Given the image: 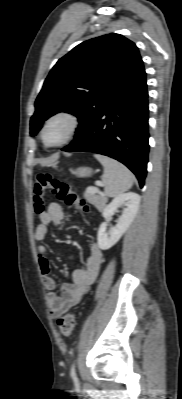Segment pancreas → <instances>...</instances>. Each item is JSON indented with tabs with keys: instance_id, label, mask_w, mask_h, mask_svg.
<instances>
[{
	"instance_id": "pancreas-1",
	"label": "pancreas",
	"mask_w": 182,
	"mask_h": 399,
	"mask_svg": "<svg viewBox=\"0 0 182 399\" xmlns=\"http://www.w3.org/2000/svg\"><path fill=\"white\" fill-rule=\"evenodd\" d=\"M87 197L89 198V200L96 205L97 207L101 206L102 203H104L106 201V198L104 197V195L100 192H86Z\"/></svg>"
}]
</instances>
